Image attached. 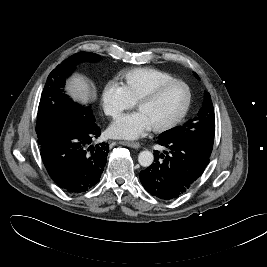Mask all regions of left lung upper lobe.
Instances as JSON below:
<instances>
[{
    "label": "left lung upper lobe",
    "mask_w": 267,
    "mask_h": 267,
    "mask_svg": "<svg viewBox=\"0 0 267 267\" xmlns=\"http://www.w3.org/2000/svg\"><path fill=\"white\" fill-rule=\"evenodd\" d=\"M198 78V75L195 74ZM215 135V116L208 92L204 94V101L198 115L183 126H179L161 133L159 138L171 140H186L202 147L206 152H212Z\"/></svg>",
    "instance_id": "5c2ea615"
}]
</instances>
